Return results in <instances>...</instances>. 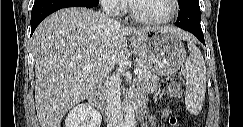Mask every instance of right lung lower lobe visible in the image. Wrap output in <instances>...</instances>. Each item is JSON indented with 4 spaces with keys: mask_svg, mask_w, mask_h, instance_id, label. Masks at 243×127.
<instances>
[{
    "mask_svg": "<svg viewBox=\"0 0 243 127\" xmlns=\"http://www.w3.org/2000/svg\"><path fill=\"white\" fill-rule=\"evenodd\" d=\"M98 2V0H35L31 12V35L45 17L61 8H93L98 4Z\"/></svg>",
    "mask_w": 243,
    "mask_h": 127,
    "instance_id": "right-lung-lower-lobe-1",
    "label": "right lung lower lobe"
}]
</instances>
